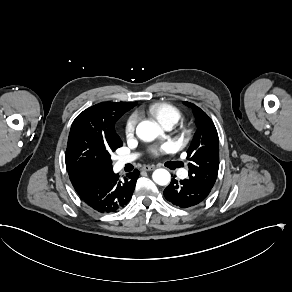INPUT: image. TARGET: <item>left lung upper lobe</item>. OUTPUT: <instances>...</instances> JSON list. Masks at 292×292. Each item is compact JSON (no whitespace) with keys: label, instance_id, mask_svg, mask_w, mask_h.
Instances as JSON below:
<instances>
[{"label":"left lung upper lobe","instance_id":"left-lung-upper-lobe-1","mask_svg":"<svg viewBox=\"0 0 292 292\" xmlns=\"http://www.w3.org/2000/svg\"><path fill=\"white\" fill-rule=\"evenodd\" d=\"M193 110L197 131L187 150L190 161L189 177L193 183L213 188L219 169V141L216 127L211 118L198 106L183 102Z\"/></svg>","mask_w":292,"mask_h":292}]
</instances>
